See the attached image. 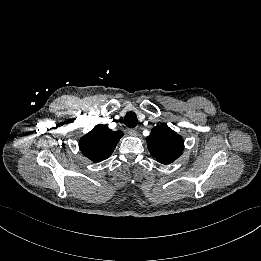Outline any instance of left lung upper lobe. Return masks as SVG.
<instances>
[{"mask_svg": "<svg viewBox=\"0 0 261 261\" xmlns=\"http://www.w3.org/2000/svg\"><path fill=\"white\" fill-rule=\"evenodd\" d=\"M146 141L151 155L162 164L175 161L182 154L184 148L182 136L167 125L154 127Z\"/></svg>", "mask_w": 261, "mask_h": 261, "instance_id": "left-lung-upper-lobe-1", "label": "left lung upper lobe"}]
</instances>
